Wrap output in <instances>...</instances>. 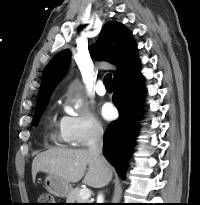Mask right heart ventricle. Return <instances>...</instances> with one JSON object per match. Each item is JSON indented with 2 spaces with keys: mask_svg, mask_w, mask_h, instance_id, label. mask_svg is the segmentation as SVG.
I'll use <instances>...</instances> for the list:
<instances>
[{
  "mask_svg": "<svg viewBox=\"0 0 200 205\" xmlns=\"http://www.w3.org/2000/svg\"><path fill=\"white\" fill-rule=\"evenodd\" d=\"M52 136L55 137L54 135H52ZM59 138L62 139L61 136H59Z\"/></svg>",
  "mask_w": 200,
  "mask_h": 205,
  "instance_id": "e07e8e85",
  "label": "right heart ventricle"
}]
</instances>
